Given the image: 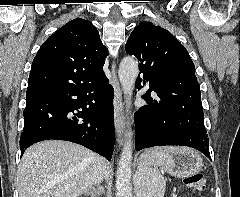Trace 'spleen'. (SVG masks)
I'll return each instance as SVG.
<instances>
[{"mask_svg":"<svg viewBox=\"0 0 240 197\" xmlns=\"http://www.w3.org/2000/svg\"><path fill=\"white\" fill-rule=\"evenodd\" d=\"M176 149L177 148L173 147H156L150 149V151L157 153L160 158H166L170 152L175 151ZM143 175L146 181L144 197H163L165 192V181L157 167L146 170Z\"/></svg>","mask_w":240,"mask_h":197,"instance_id":"3e777b00","label":"spleen"}]
</instances>
